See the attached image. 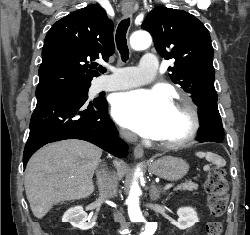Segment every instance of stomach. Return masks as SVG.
I'll return each instance as SVG.
<instances>
[{"instance_id": "0dacf381", "label": "stomach", "mask_w": 250, "mask_h": 235, "mask_svg": "<svg viewBox=\"0 0 250 235\" xmlns=\"http://www.w3.org/2000/svg\"><path fill=\"white\" fill-rule=\"evenodd\" d=\"M149 170L160 178L176 181L187 174L189 165L181 158L164 156L150 163Z\"/></svg>"}]
</instances>
